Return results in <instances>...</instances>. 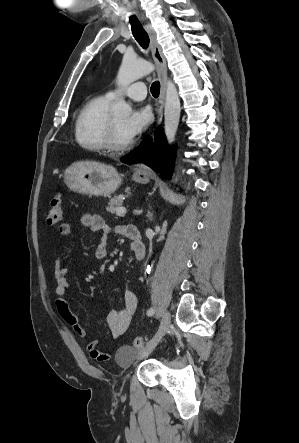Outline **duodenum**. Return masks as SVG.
I'll return each mask as SVG.
<instances>
[{"mask_svg":"<svg viewBox=\"0 0 299 443\" xmlns=\"http://www.w3.org/2000/svg\"><path fill=\"white\" fill-rule=\"evenodd\" d=\"M127 236L132 240V250L137 255H142L145 253V248L141 240L140 231L133 226H130L127 232Z\"/></svg>","mask_w":299,"mask_h":443,"instance_id":"obj_1","label":"duodenum"}]
</instances>
